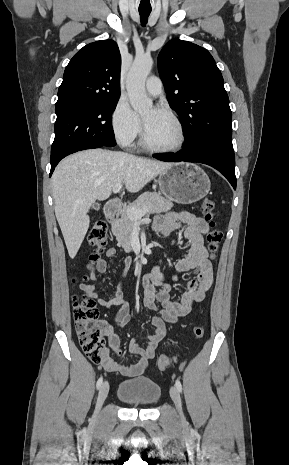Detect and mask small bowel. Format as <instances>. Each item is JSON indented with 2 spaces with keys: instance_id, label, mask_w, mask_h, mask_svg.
Segmentation results:
<instances>
[{
  "instance_id": "small-bowel-1",
  "label": "small bowel",
  "mask_w": 289,
  "mask_h": 465,
  "mask_svg": "<svg viewBox=\"0 0 289 465\" xmlns=\"http://www.w3.org/2000/svg\"><path fill=\"white\" fill-rule=\"evenodd\" d=\"M185 225L184 236L188 241V248L185 254L176 263L177 274L172 276V280H177V275L187 271H195L196 276L188 283V289L179 300H175L171 294V285L167 276L157 265L152 271L142 279L143 304L147 309L158 312L161 317H154L151 321L154 331L147 336L145 343H140L136 339L130 340L128 348L130 352L140 357V360L131 365L117 362L106 349L102 359L98 362L105 370L118 372L123 376L133 377L140 375L146 368L148 360L154 358L155 351L159 343L166 335L167 323H174L178 317L187 315L195 303L201 302L213 281L211 263L208 260V252L204 242V236L208 232L207 223L199 216L187 212H167L158 216L153 224V229L160 235L166 236L171 232ZM117 254L115 248H110L106 252L108 258H113ZM126 266L132 263L131 257L124 259ZM108 264L105 259H98L91 267L90 277L98 281L96 273H105ZM125 275V272L124 274ZM83 293L97 301V303L107 309L115 305L121 308L114 317L116 326H125L130 321V308L124 300L122 283L120 282L109 300L101 297L95 286L82 281L80 284ZM103 332L107 336L108 346L114 356H120V338L114 330V326L101 322Z\"/></svg>"
}]
</instances>
